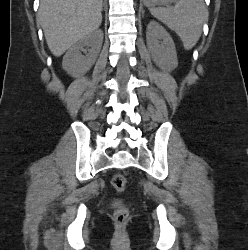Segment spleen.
Here are the masks:
<instances>
[{
    "label": "spleen",
    "mask_w": 248,
    "mask_h": 250,
    "mask_svg": "<svg viewBox=\"0 0 248 250\" xmlns=\"http://www.w3.org/2000/svg\"><path fill=\"white\" fill-rule=\"evenodd\" d=\"M173 8L151 7L150 13L180 37L185 49L198 42L208 15L203 0H175Z\"/></svg>",
    "instance_id": "spleen-1"
}]
</instances>
